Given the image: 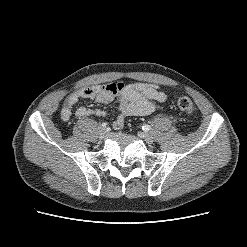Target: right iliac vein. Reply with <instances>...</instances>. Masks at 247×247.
<instances>
[{
  "label": "right iliac vein",
  "mask_w": 247,
  "mask_h": 247,
  "mask_svg": "<svg viewBox=\"0 0 247 247\" xmlns=\"http://www.w3.org/2000/svg\"><path fill=\"white\" fill-rule=\"evenodd\" d=\"M99 135H100V138H104L105 137L106 129L104 127H100L99 128Z\"/></svg>",
  "instance_id": "right-iliac-vein-1"
}]
</instances>
